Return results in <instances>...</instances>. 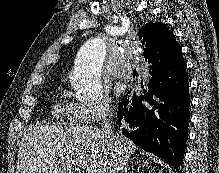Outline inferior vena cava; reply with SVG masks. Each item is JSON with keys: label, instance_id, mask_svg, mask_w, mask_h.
Returning a JSON list of instances; mask_svg holds the SVG:
<instances>
[{"label": "inferior vena cava", "instance_id": "inferior-vena-cava-1", "mask_svg": "<svg viewBox=\"0 0 219 173\" xmlns=\"http://www.w3.org/2000/svg\"><path fill=\"white\" fill-rule=\"evenodd\" d=\"M112 113L111 111L108 109L106 110V113L104 114L103 118H102V132L104 134V139L107 142L112 141L114 133L112 131V127H111V123L109 118L107 117H111ZM120 167L116 162H112L109 164V168L105 171L106 173H118Z\"/></svg>", "mask_w": 219, "mask_h": 173}]
</instances>
